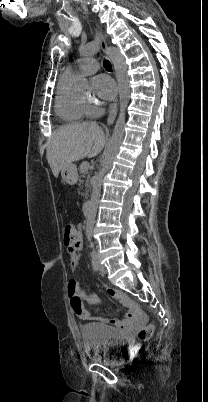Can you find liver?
I'll use <instances>...</instances> for the list:
<instances>
[{"label":"liver","mask_w":208,"mask_h":402,"mask_svg":"<svg viewBox=\"0 0 208 402\" xmlns=\"http://www.w3.org/2000/svg\"><path fill=\"white\" fill-rule=\"evenodd\" d=\"M105 146V134L96 122L84 124H68L61 126L54 132L47 146L46 158L53 172L58 178L63 166L82 158H95Z\"/></svg>","instance_id":"6515ba94"}]
</instances>
